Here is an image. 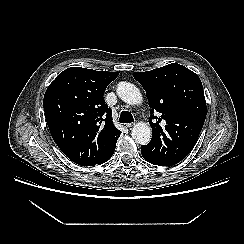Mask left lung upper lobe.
<instances>
[{"label": "left lung upper lobe", "mask_w": 244, "mask_h": 244, "mask_svg": "<svg viewBox=\"0 0 244 244\" xmlns=\"http://www.w3.org/2000/svg\"><path fill=\"white\" fill-rule=\"evenodd\" d=\"M133 76L146 91L151 114L154 111L161 114L159 118L152 115L149 118L152 139L143 145L151 156V164H177L193 149L206 118L201 80L176 63L135 72ZM153 118L156 123L152 122Z\"/></svg>", "instance_id": "1"}]
</instances>
